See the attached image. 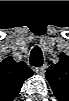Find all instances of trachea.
I'll return each mask as SVG.
<instances>
[{"mask_svg":"<svg viewBox=\"0 0 69 101\" xmlns=\"http://www.w3.org/2000/svg\"><path fill=\"white\" fill-rule=\"evenodd\" d=\"M30 65L40 67L43 65V54L40 47L35 46L30 53Z\"/></svg>","mask_w":69,"mask_h":101,"instance_id":"obj_1","label":"trachea"}]
</instances>
